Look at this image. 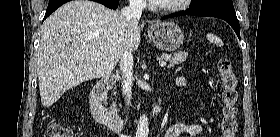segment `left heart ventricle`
<instances>
[{
	"label": "left heart ventricle",
	"mask_w": 280,
	"mask_h": 137,
	"mask_svg": "<svg viewBox=\"0 0 280 137\" xmlns=\"http://www.w3.org/2000/svg\"><path fill=\"white\" fill-rule=\"evenodd\" d=\"M176 2H177V0H161L159 3L160 4H165V5H172ZM167 27H171V26H167Z\"/></svg>",
	"instance_id": "1"
}]
</instances>
